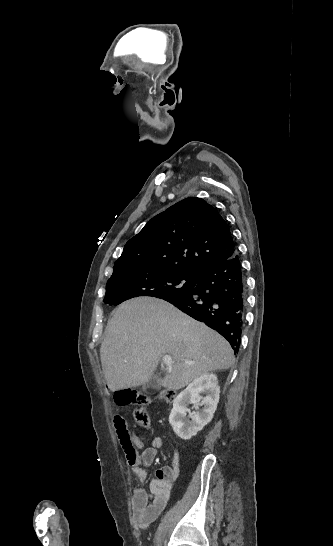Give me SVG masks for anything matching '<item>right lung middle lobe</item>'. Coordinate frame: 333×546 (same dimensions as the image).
<instances>
[{
  "instance_id": "obj_1",
  "label": "right lung middle lobe",
  "mask_w": 333,
  "mask_h": 546,
  "mask_svg": "<svg viewBox=\"0 0 333 546\" xmlns=\"http://www.w3.org/2000/svg\"><path fill=\"white\" fill-rule=\"evenodd\" d=\"M199 276L168 271L144 270L134 266L114 270L106 284L104 302L118 305L138 296L163 298L191 291Z\"/></svg>"
}]
</instances>
